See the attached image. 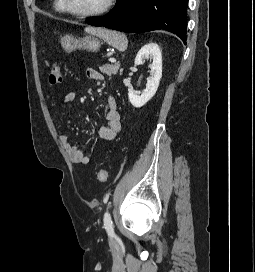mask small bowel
I'll list each match as a JSON object with an SVG mask.
<instances>
[{
  "label": "small bowel",
  "mask_w": 255,
  "mask_h": 272,
  "mask_svg": "<svg viewBox=\"0 0 255 272\" xmlns=\"http://www.w3.org/2000/svg\"><path fill=\"white\" fill-rule=\"evenodd\" d=\"M86 76L94 81L104 80L103 74L94 69H88L86 71ZM75 97L76 94L74 92L66 93L64 96V103L73 102ZM105 118L106 124L100 127L98 134L102 140L112 141L122 129L121 116L117 110L116 99L113 96L108 99ZM59 139L73 163L83 165L89 164L90 157L79 148L78 143L74 139L66 134H60Z\"/></svg>",
  "instance_id": "1"
}]
</instances>
